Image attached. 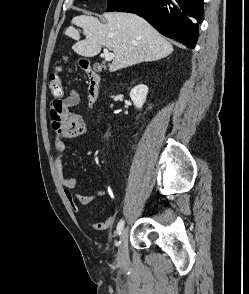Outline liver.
<instances>
[{
	"instance_id": "6515ba94",
	"label": "liver",
	"mask_w": 249,
	"mask_h": 294,
	"mask_svg": "<svg viewBox=\"0 0 249 294\" xmlns=\"http://www.w3.org/2000/svg\"><path fill=\"white\" fill-rule=\"evenodd\" d=\"M104 17L106 23L89 15L76 16L71 23L81 27L86 38L80 40V33L73 25L66 29L65 35L76 40L72 49L84 57L98 55L102 46L112 50L110 72L157 61L173 52L171 43L141 17L121 12L107 13Z\"/></svg>"
}]
</instances>
